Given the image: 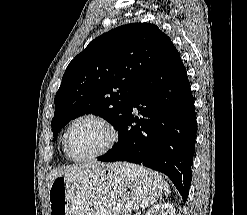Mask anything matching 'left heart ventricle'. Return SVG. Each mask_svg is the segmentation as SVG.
Listing matches in <instances>:
<instances>
[{"mask_svg": "<svg viewBox=\"0 0 247 215\" xmlns=\"http://www.w3.org/2000/svg\"><path fill=\"white\" fill-rule=\"evenodd\" d=\"M108 132L99 123L85 120L77 123L68 135V150L75 157L93 154L104 147Z\"/></svg>", "mask_w": 247, "mask_h": 215, "instance_id": "b2bd125f", "label": "left heart ventricle"}]
</instances>
